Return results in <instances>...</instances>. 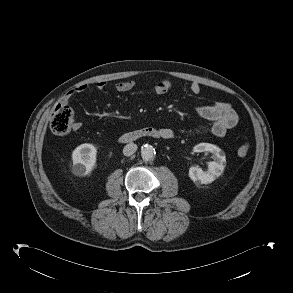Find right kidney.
I'll use <instances>...</instances> for the list:
<instances>
[{"instance_id":"right-kidney-1","label":"right kidney","mask_w":293,"mask_h":293,"mask_svg":"<svg viewBox=\"0 0 293 293\" xmlns=\"http://www.w3.org/2000/svg\"><path fill=\"white\" fill-rule=\"evenodd\" d=\"M97 148L90 143L79 145L72 152V172L76 176H86L92 172L96 164Z\"/></svg>"}]
</instances>
